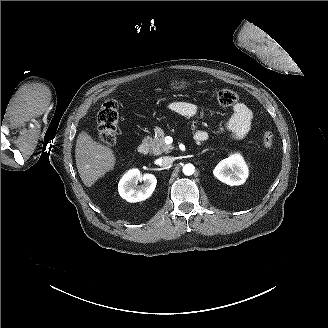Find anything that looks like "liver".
<instances>
[{"label": "liver", "mask_w": 328, "mask_h": 328, "mask_svg": "<svg viewBox=\"0 0 328 328\" xmlns=\"http://www.w3.org/2000/svg\"><path fill=\"white\" fill-rule=\"evenodd\" d=\"M75 158L80 178L87 187L112 170L116 161L109 147L95 142L86 132L78 135Z\"/></svg>", "instance_id": "liver-1"}]
</instances>
